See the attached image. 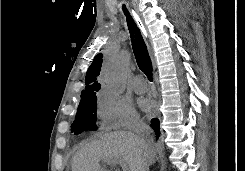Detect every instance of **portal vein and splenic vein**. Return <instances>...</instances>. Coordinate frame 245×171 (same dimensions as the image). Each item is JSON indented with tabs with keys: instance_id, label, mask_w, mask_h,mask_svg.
<instances>
[{
	"instance_id": "1",
	"label": "portal vein and splenic vein",
	"mask_w": 245,
	"mask_h": 171,
	"mask_svg": "<svg viewBox=\"0 0 245 171\" xmlns=\"http://www.w3.org/2000/svg\"><path fill=\"white\" fill-rule=\"evenodd\" d=\"M108 164H114V165H120L123 169V171H128L127 163L124 160L121 159H113V160H106Z\"/></svg>"
}]
</instances>
